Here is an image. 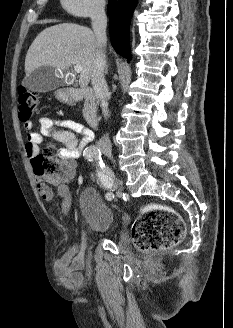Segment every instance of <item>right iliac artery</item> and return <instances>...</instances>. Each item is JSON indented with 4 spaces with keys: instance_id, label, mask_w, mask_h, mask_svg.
<instances>
[{
    "instance_id": "1",
    "label": "right iliac artery",
    "mask_w": 233,
    "mask_h": 328,
    "mask_svg": "<svg viewBox=\"0 0 233 328\" xmlns=\"http://www.w3.org/2000/svg\"><path fill=\"white\" fill-rule=\"evenodd\" d=\"M85 158L88 161L93 162L94 160L100 163V170H97V176L100 186H102L107 192H106V199L107 200H113L114 194V181H113V175L109 171L107 167H105L103 161H102V154L100 149L97 146H91L86 152H85Z\"/></svg>"
}]
</instances>
